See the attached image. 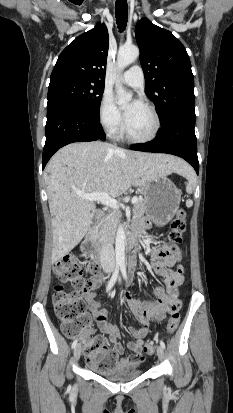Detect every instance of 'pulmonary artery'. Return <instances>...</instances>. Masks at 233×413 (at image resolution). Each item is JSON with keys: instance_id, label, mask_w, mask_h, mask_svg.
I'll return each mask as SVG.
<instances>
[{"instance_id": "1", "label": "pulmonary artery", "mask_w": 233, "mask_h": 413, "mask_svg": "<svg viewBox=\"0 0 233 413\" xmlns=\"http://www.w3.org/2000/svg\"><path fill=\"white\" fill-rule=\"evenodd\" d=\"M123 83L128 86L139 88L144 84V75L142 69L134 65L129 70L123 73L121 77Z\"/></svg>"}]
</instances>
